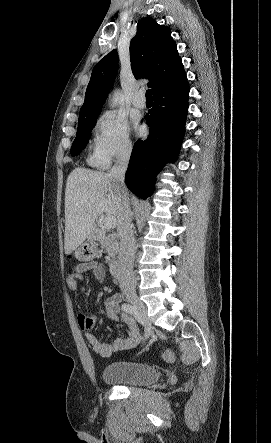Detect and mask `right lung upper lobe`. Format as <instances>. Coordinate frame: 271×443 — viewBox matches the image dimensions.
<instances>
[{
  "instance_id": "obj_1",
  "label": "right lung upper lobe",
  "mask_w": 271,
  "mask_h": 443,
  "mask_svg": "<svg viewBox=\"0 0 271 443\" xmlns=\"http://www.w3.org/2000/svg\"><path fill=\"white\" fill-rule=\"evenodd\" d=\"M130 60L135 78H148L153 94L186 78L170 28L152 18L139 21L137 34L130 43ZM117 69L118 54L114 49L95 65L79 119L99 115Z\"/></svg>"
}]
</instances>
